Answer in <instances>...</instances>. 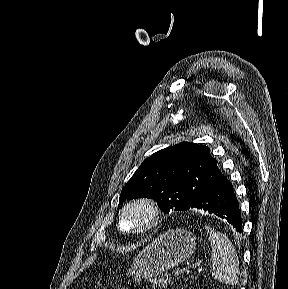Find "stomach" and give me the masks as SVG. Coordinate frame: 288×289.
I'll list each match as a JSON object with an SVG mask.
<instances>
[{
    "instance_id": "1",
    "label": "stomach",
    "mask_w": 288,
    "mask_h": 289,
    "mask_svg": "<svg viewBox=\"0 0 288 289\" xmlns=\"http://www.w3.org/2000/svg\"><path fill=\"white\" fill-rule=\"evenodd\" d=\"M196 248L192 232L175 228L160 234L134 259L127 275L152 278L190 258Z\"/></svg>"
}]
</instances>
